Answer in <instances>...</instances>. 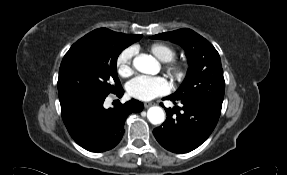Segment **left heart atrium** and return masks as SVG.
<instances>
[{
  "label": "left heart atrium",
  "mask_w": 287,
  "mask_h": 175,
  "mask_svg": "<svg viewBox=\"0 0 287 175\" xmlns=\"http://www.w3.org/2000/svg\"><path fill=\"white\" fill-rule=\"evenodd\" d=\"M128 94L141 101H149L170 91L168 80L162 76H138L127 83Z\"/></svg>",
  "instance_id": "obj_1"
}]
</instances>
